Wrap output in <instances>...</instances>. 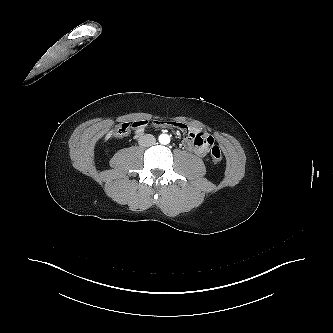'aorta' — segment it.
<instances>
[{
	"label": "aorta",
	"mask_w": 333,
	"mask_h": 333,
	"mask_svg": "<svg viewBox=\"0 0 333 333\" xmlns=\"http://www.w3.org/2000/svg\"><path fill=\"white\" fill-rule=\"evenodd\" d=\"M159 142L161 144H164V145L169 144L170 143V137H169V135H167V134H161L159 136Z\"/></svg>",
	"instance_id": "762f6f07"
}]
</instances>
